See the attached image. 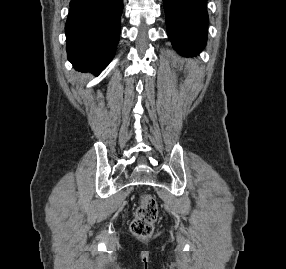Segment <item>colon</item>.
Wrapping results in <instances>:
<instances>
[{
	"mask_svg": "<svg viewBox=\"0 0 286 269\" xmlns=\"http://www.w3.org/2000/svg\"><path fill=\"white\" fill-rule=\"evenodd\" d=\"M157 218L158 203L156 199L148 194L143 195L131 222L132 233L141 238L149 237L153 232Z\"/></svg>",
	"mask_w": 286,
	"mask_h": 269,
	"instance_id": "obj_1",
	"label": "colon"
}]
</instances>
